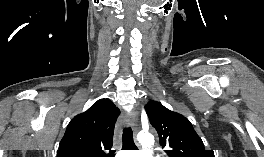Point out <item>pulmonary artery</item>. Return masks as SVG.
I'll use <instances>...</instances> for the list:
<instances>
[{"label": "pulmonary artery", "mask_w": 264, "mask_h": 157, "mask_svg": "<svg viewBox=\"0 0 264 157\" xmlns=\"http://www.w3.org/2000/svg\"><path fill=\"white\" fill-rule=\"evenodd\" d=\"M136 156V157H154L152 152L149 150H139V151H134L133 153L128 152V153H124L121 156ZM120 156V157H121Z\"/></svg>", "instance_id": "1"}]
</instances>
